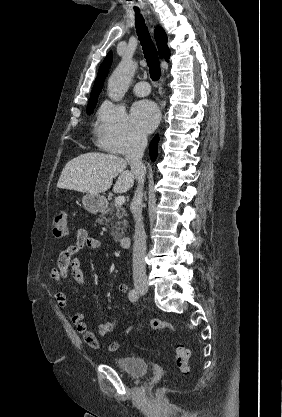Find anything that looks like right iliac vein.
Wrapping results in <instances>:
<instances>
[{"instance_id": "obj_1", "label": "right iliac vein", "mask_w": 282, "mask_h": 417, "mask_svg": "<svg viewBox=\"0 0 282 417\" xmlns=\"http://www.w3.org/2000/svg\"><path fill=\"white\" fill-rule=\"evenodd\" d=\"M136 289L138 290V292L140 293H146L148 290V287L145 283H137L136 284Z\"/></svg>"}]
</instances>
